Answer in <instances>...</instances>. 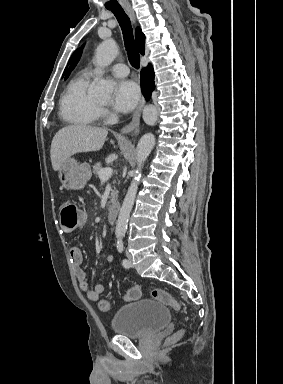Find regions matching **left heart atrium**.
I'll return each instance as SVG.
<instances>
[{
  "label": "left heart atrium",
  "mask_w": 283,
  "mask_h": 384,
  "mask_svg": "<svg viewBox=\"0 0 283 384\" xmlns=\"http://www.w3.org/2000/svg\"><path fill=\"white\" fill-rule=\"evenodd\" d=\"M140 96L137 85L130 80L116 83L111 105L120 112H130L137 104Z\"/></svg>",
  "instance_id": "left-heart-atrium-1"
}]
</instances>
